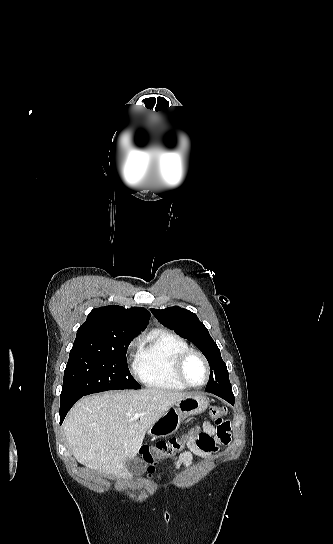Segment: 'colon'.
Returning a JSON list of instances; mask_svg holds the SVG:
<instances>
[{
  "instance_id": "colon-1",
  "label": "colon",
  "mask_w": 333,
  "mask_h": 544,
  "mask_svg": "<svg viewBox=\"0 0 333 544\" xmlns=\"http://www.w3.org/2000/svg\"><path fill=\"white\" fill-rule=\"evenodd\" d=\"M227 413V408L224 406H216L212 407L209 411V414L214 419H219L220 417L224 416ZM190 436H193V434H190L187 437V440ZM185 438H171L167 441H159L154 446H143L139 450V454L141 456L142 461L147 466V470L149 473L153 472L154 466L157 461L171 458L173 457L177 452L181 451L184 444H185Z\"/></svg>"
}]
</instances>
